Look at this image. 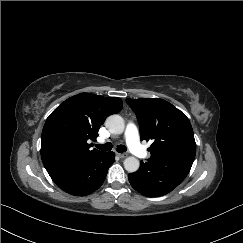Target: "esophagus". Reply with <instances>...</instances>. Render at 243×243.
<instances>
[{"label": "esophagus", "instance_id": "1", "mask_svg": "<svg viewBox=\"0 0 243 243\" xmlns=\"http://www.w3.org/2000/svg\"><path fill=\"white\" fill-rule=\"evenodd\" d=\"M118 156L120 158H125V157H127V154L126 153H118Z\"/></svg>", "mask_w": 243, "mask_h": 243}]
</instances>
